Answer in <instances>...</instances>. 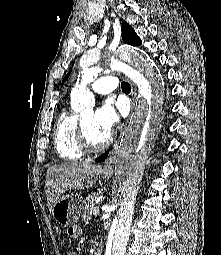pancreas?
<instances>
[{
	"mask_svg": "<svg viewBox=\"0 0 221 255\" xmlns=\"http://www.w3.org/2000/svg\"><path fill=\"white\" fill-rule=\"evenodd\" d=\"M98 197V193L92 192L88 194L83 201L82 219L88 221L92 218L93 210L95 208V201Z\"/></svg>",
	"mask_w": 221,
	"mask_h": 255,
	"instance_id": "pancreas-1",
	"label": "pancreas"
}]
</instances>
